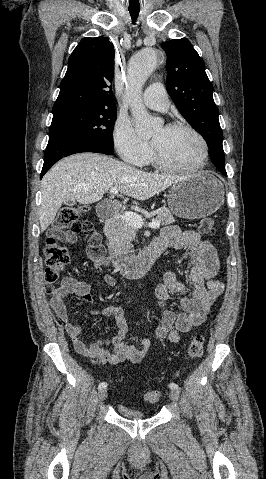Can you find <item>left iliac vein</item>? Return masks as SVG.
I'll return each instance as SVG.
<instances>
[{
	"instance_id": "1",
	"label": "left iliac vein",
	"mask_w": 266,
	"mask_h": 479,
	"mask_svg": "<svg viewBox=\"0 0 266 479\" xmlns=\"http://www.w3.org/2000/svg\"><path fill=\"white\" fill-rule=\"evenodd\" d=\"M179 396H180V395H179V391H178V390H172V391H170V393H169L170 399H171L172 401H174V402H178Z\"/></svg>"
}]
</instances>
